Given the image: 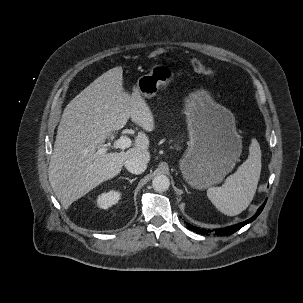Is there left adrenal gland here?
Wrapping results in <instances>:
<instances>
[{
	"instance_id": "left-adrenal-gland-1",
	"label": "left adrenal gland",
	"mask_w": 303,
	"mask_h": 303,
	"mask_svg": "<svg viewBox=\"0 0 303 303\" xmlns=\"http://www.w3.org/2000/svg\"><path fill=\"white\" fill-rule=\"evenodd\" d=\"M184 187H185V190L188 192L187 187L186 186H184Z\"/></svg>"
}]
</instances>
